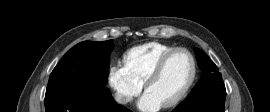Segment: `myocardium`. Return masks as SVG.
I'll return each mask as SVG.
<instances>
[{
	"label": "myocardium",
	"mask_w": 270,
	"mask_h": 112,
	"mask_svg": "<svg viewBox=\"0 0 270 112\" xmlns=\"http://www.w3.org/2000/svg\"><path fill=\"white\" fill-rule=\"evenodd\" d=\"M178 52H184L189 56L190 61H191V65H192V71H191L190 78H189L187 84L185 85L184 89L174 99H172L169 102H167L166 104H164L163 105L164 108H171V107L178 105L181 101H183L185 99V97L189 94L190 90L192 89V87L196 81V78H197V70H198L197 69V61H196L194 54L189 49H187L185 47L173 48L172 50L165 53L157 61L154 68L151 70V72L149 73V75L147 76V78L144 82V89H145V91H147V88L149 87V85L151 83H153L161 75L168 60L174 54H176Z\"/></svg>",
	"instance_id": "myocardium-1"
}]
</instances>
